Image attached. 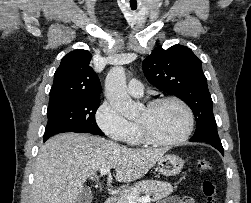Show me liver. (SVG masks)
<instances>
[{
    "label": "liver",
    "mask_w": 251,
    "mask_h": 203,
    "mask_svg": "<svg viewBox=\"0 0 251 203\" xmlns=\"http://www.w3.org/2000/svg\"><path fill=\"white\" fill-rule=\"evenodd\" d=\"M168 148L132 149L88 134L63 133L41 146L32 203H77L87 179L103 167L127 183L142 178Z\"/></svg>",
    "instance_id": "liver-1"
}]
</instances>
